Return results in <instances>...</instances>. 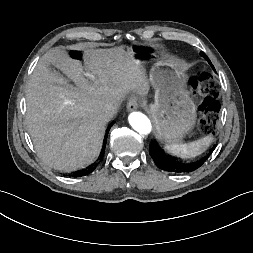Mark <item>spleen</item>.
I'll list each match as a JSON object with an SVG mask.
<instances>
[{
  "mask_svg": "<svg viewBox=\"0 0 253 253\" xmlns=\"http://www.w3.org/2000/svg\"><path fill=\"white\" fill-rule=\"evenodd\" d=\"M211 141L212 137L206 136L190 143L171 145L167 144L164 148L168 153L172 155L179 156L181 158H194L206 151L211 144Z\"/></svg>",
  "mask_w": 253,
  "mask_h": 253,
  "instance_id": "1",
  "label": "spleen"
}]
</instances>
